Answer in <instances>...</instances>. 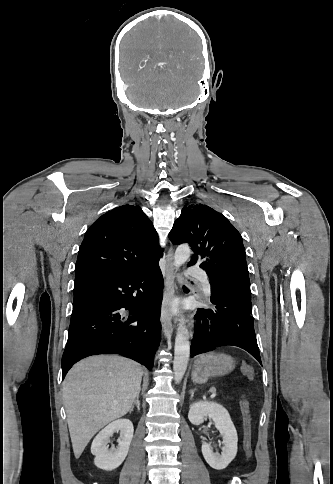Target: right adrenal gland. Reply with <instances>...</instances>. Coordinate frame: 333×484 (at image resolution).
I'll list each match as a JSON object with an SVG mask.
<instances>
[{
    "instance_id": "2a0ac1e0",
    "label": "right adrenal gland",
    "mask_w": 333,
    "mask_h": 484,
    "mask_svg": "<svg viewBox=\"0 0 333 484\" xmlns=\"http://www.w3.org/2000/svg\"><path fill=\"white\" fill-rule=\"evenodd\" d=\"M139 394H140V391L137 393V396H136V399L130 409V413L133 411L135 405L137 406V409L140 411V401H139Z\"/></svg>"
}]
</instances>
